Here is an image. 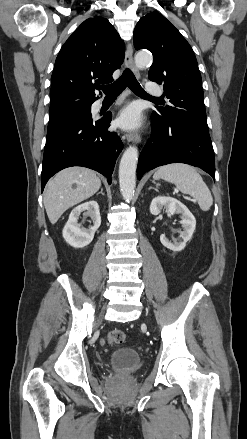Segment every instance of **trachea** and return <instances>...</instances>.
Returning <instances> with one entry per match:
<instances>
[{"mask_svg": "<svg viewBox=\"0 0 247 439\" xmlns=\"http://www.w3.org/2000/svg\"><path fill=\"white\" fill-rule=\"evenodd\" d=\"M138 96L159 100V98L150 96L141 87L133 72L130 69H125L122 76L115 82L100 87L106 96H118L126 87Z\"/></svg>", "mask_w": 247, "mask_h": 439, "instance_id": "trachea-1", "label": "trachea"}]
</instances>
